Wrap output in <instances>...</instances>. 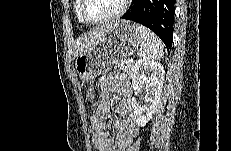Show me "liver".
I'll return each instance as SVG.
<instances>
[{
	"mask_svg": "<svg viewBox=\"0 0 231 151\" xmlns=\"http://www.w3.org/2000/svg\"><path fill=\"white\" fill-rule=\"evenodd\" d=\"M112 23L110 24H103L99 27L93 29L87 34L81 35L76 40V53L75 57H77L79 54L83 53L90 47L96 45L99 40L102 38V36L108 31Z\"/></svg>",
	"mask_w": 231,
	"mask_h": 151,
	"instance_id": "6515ba94",
	"label": "liver"
}]
</instances>
